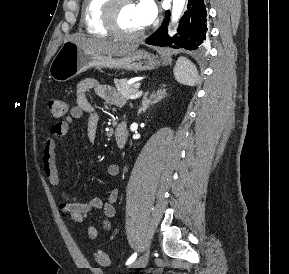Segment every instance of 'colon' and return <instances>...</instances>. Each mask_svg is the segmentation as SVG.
I'll return each mask as SVG.
<instances>
[{"mask_svg": "<svg viewBox=\"0 0 289 274\" xmlns=\"http://www.w3.org/2000/svg\"><path fill=\"white\" fill-rule=\"evenodd\" d=\"M46 106H47V109L49 110L50 114L54 118L63 117L68 111V104L66 101H64L62 99L48 100L46 102ZM94 260L98 265H100L102 267H105L109 264L108 255L101 250H97L94 252Z\"/></svg>", "mask_w": 289, "mask_h": 274, "instance_id": "1", "label": "colon"}]
</instances>
